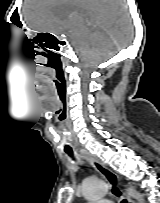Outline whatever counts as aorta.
I'll use <instances>...</instances> for the list:
<instances>
[{"instance_id":"obj_1","label":"aorta","mask_w":160,"mask_h":203,"mask_svg":"<svg viewBox=\"0 0 160 203\" xmlns=\"http://www.w3.org/2000/svg\"><path fill=\"white\" fill-rule=\"evenodd\" d=\"M108 191V185L100 180H87L83 183L82 193L87 200H99ZM129 195L138 200L139 203H144L141 198L140 193L136 192L134 189H129Z\"/></svg>"}]
</instances>
